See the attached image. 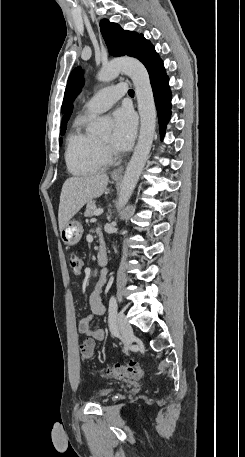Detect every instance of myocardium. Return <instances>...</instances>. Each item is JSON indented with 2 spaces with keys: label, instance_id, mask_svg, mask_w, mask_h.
I'll return each instance as SVG.
<instances>
[{
  "label": "myocardium",
  "instance_id": "1",
  "mask_svg": "<svg viewBox=\"0 0 245 457\" xmlns=\"http://www.w3.org/2000/svg\"><path fill=\"white\" fill-rule=\"evenodd\" d=\"M93 145H94L93 146L94 152L98 157H100L102 159H107V158L113 156V152L109 148H107L106 146L101 144L97 138L94 139Z\"/></svg>",
  "mask_w": 245,
  "mask_h": 457
}]
</instances>
